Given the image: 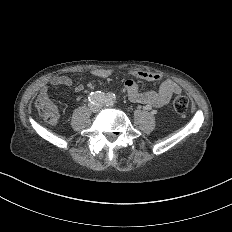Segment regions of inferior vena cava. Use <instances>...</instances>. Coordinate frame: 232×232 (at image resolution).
<instances>
[{
	"mask_svg": "<svg viewBox=\"0 0 232 232\" xmlns=\"http://www.w3.org/2000/svg\"><path fill=\"white\" fill-rule=\"evenodd\" d=\"M89 107L91 108L92 112H97L102 109V106L100 104H95L92 105L91 103L89 104Z\"/></svg>",
	"mask_w": 232,
	"mask_h": 232,
	"instance_id": "obj_1",
	"label": "inferior vena cava"
}]
</instances>
